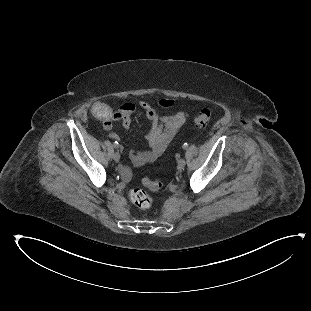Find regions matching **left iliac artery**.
<instances>
[{
	"label": "left iliac artery",
	"instance_id": "left-iliac-artery-1",
	"mask_svg": "<svg viewBox=\"0 0 311 311\" xmlns=\"http://www.w3.org/2000/svg\"><path fill=\"white\" fill-rule=\"evenodd\" d=\"M182 147H183V149H187L188 148V144L184 143Z\"/></svg>",
	"mask_w": 311,
	"mask_h": 311
}]
</instances>
